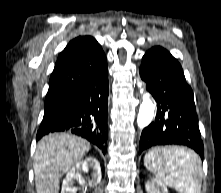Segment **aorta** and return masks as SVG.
Segmentation results:
<instances>
[{"instance_id":"aorta-1","label":"aorta","mask_w":221,"mask_h":193,"mask_svg":"<svg viewBox=\"0 0 221 193\" xmlns=\"http://www.w3.org/2000/svg\"><path fill=\"white\" fill-rule=\"evenodd\" d=\"M141 86L142 83L138 82V87L141 88ZM140 93L143 94V101L137 115V125L140 129H143L153 120L155 105L152 103L149 93L145 92L143 89H140Z\"/></svg>"}]
</instances>
